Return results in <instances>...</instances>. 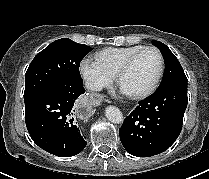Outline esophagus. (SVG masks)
<instances>
[{"label":"esophagus","instance_id":"1","mask_svg":"<svg viewBox=\"0 0 209 179\" xmlns=\"http://www.w3.org/2000/svg\"><path fill=\"white\" fill-rule=\"evenodd\" d=\"M75 114L81 119L90 118L95 112V105L90 99H79L74 105Z\"/></svg>","mask_w":209,"mask_h":179}]
</instances>
